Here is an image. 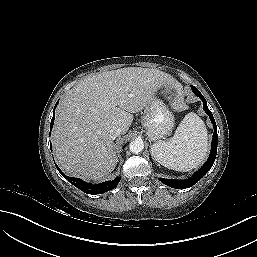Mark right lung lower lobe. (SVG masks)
<instances>
[{"label":"right lung lower lobe","mask_w":257,"mask_h":257,"mask_svg":"<svg viewBox=\"0 0 257 257\" xmlns=\"http://www.w3.org/2000/svg\"><path fill=\"white\" fill-rule=\"evenodd\" d=\"M57 103H56V105H57ZM56 105H55V107H56ZM55 107H54L53 118L51 120L50 132H51V129H52L53 123H54ZM50 147H51V145H50ZM51 149H52V147H51ZM56 167H57L58 171L61 173V175L65 179H67L75 187H77L78 189H80L81 191H83V192H85L87 194H102V193H105V192H107V191H109L111 189H114L117 186V184L119 183V181H120V177H117L114 180L93 185V184L86 183V182H84L83 180H81L79 178L68 177V176H66V175H64L62 173V171L58 168L57 165H56Z\"/></svg>","instance_id":"right-lung-lower-lobe-1"}]
</instances>
